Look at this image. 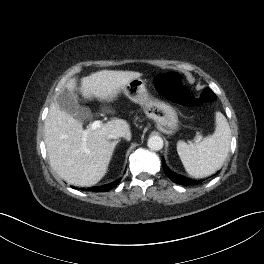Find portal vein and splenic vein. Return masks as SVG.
<instances>
[{"mask_svg": "<svg viewBox=\"0 0 264 264\" xmlns=\"http://www.w3.org/2000/svg\"><path fill=\"white\" fill-rule=\"evenodd\" d=\"M89 129L88 130H96L97 128H100L101 127V121H99V120H96V121H94V122H92L90 125H89ZM87 131H85L84 132V136H86L87 135Z\"/></svg>", "mask_w": 264, "mask_h": 264, "instance_id": "18ae733b", "label": "portal vein and splenic vein"}]
</instances>
